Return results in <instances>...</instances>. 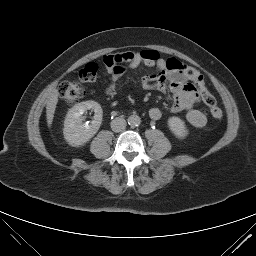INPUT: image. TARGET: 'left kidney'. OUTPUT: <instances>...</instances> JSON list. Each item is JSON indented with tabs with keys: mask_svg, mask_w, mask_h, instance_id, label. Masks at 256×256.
I'll use <instances>...</instances> for the list:
<instances>
[{
	"mask_svg": "<svg viewBox=\"0 0 256 256\" xmlns=\"http://www.w3.org/2000/svg\"><path fill=\"white\" fill-rule=\"evenodd\" d=\"M168 126L171 132L180 139H183L187 136L188 130L185 126V122L179 117H170L168 119Z\"/></svg>",
	"mask_w": 256,
	"mask_h": 256,
	"instance_id": "obj_1",
	"label": "left kidney"
}]
</instances>
